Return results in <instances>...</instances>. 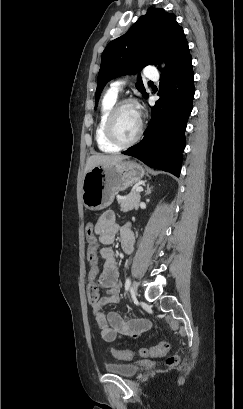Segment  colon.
<instances>
[{"mask_svg":"<svg viewBox=\"0 0 243 409\" xmlns=\"http://www.w3.org/2000/svg\"><path fill=\"white\" fill-rule=\"evenodd\" d=\"M85 235L88 240L89 246L87 250V256L90 259L95 258L98 250V241L94 234V226L92 223H88L85 226ZM88 300L91 304H96L99 300V290L95 286L87 287ZM169 349V344L166 340L161 341L157 346L148 348H139L137 353L132 350H115L112 349L111 353L119 359L131 360L138 354L141 357L145 356H158L165 354ZM180 357L178 355H171L167 358V364L171 367L177 366L179 364Z\"/></svg>","mask_w":243,"mask_h":409,"instance_id":"1","label":"colon"}]
</instances>
